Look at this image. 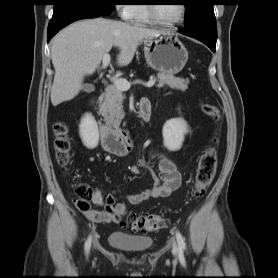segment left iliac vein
I'll return each instance as SVG.
<instances>
[{
    "label": "left iliac vein",
    "mask_w": 278,
    "mask_h": 278,
    "mask_svg": "<svg viewBox=\"0 0 278 278\" xmlns=\"http://www.w3.org/2000/svg\"><path fill=\"white\" fill-rule=\"evenodd\" d=\"M172 253L174 255H177V253H178V246L175 241L173 242Z\"/></svg>",
    "instance_id": "left-iliac-vein-1"
}]
</instances>
